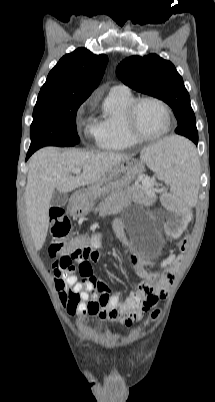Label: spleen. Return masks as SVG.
Here are the masks:
<instances>
[{
    "label": "spleen",
    "instance_id": "obj_1",
    "mask_svg": "<svg viewBox=\"0 0 215 402\" xmlns=\"http://www.w3.org/2000/svg\"><path fill=\"white\" fill-rule=\"evenodd\" d=\"M141 159L157 176L169 183L172 193H184L178 201L189 208L199 191V170L195 165L192 144L183 137L165 138L142 151Z\"/></svg>",
    "mask_w": 215,
    "mask_h": 402
}]
</instances>
